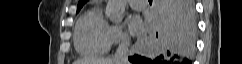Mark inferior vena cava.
Instances as JSON below:
<instances>
[{
  "instance_id": "1",
  "label": "inferior vena cava",
  "mask_w": 242,
  "mask_h": 64,
  "mask_svg": "<svg viewBox=\"0 0 242 64\" xmlns=\"http://www.w3.org/2000/svg\"><path fill=\"white\" fill-rule=\"evenodd\" d=\"M129 46H130V41L128 37L124 36L113 57V60L116 62V64H129V61H128Z\"/></svg>"
}]
</instances>
